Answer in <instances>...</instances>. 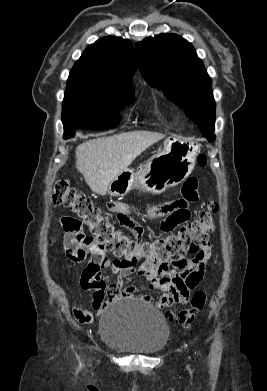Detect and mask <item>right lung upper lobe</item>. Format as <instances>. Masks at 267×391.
Instances as JSON below:
<instances>
[{
    "instance_id": "obj_1",
    "label": "right lung upper lobe",
    "mask_w": 267,
    "mask_h": 391,
    "mask_svg": "<svg viewBox=\"0 0 267 391\" xmlns=\"http://www.w3.org/2000/svg\"><path fill=\"white\" fill-rule=\"evenodd\" d=\"M136 69L131 42L108 36L85 49L74 64L68 81L88 80L108 89L134 92L130 78Z\"/></svg>"
}]
</instances>
